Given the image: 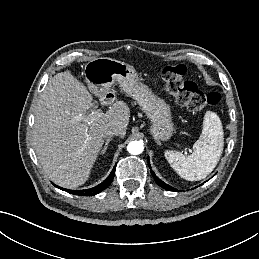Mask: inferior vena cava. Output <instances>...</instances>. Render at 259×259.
Listing matches in <instances>:
<instances>
[{"label": "inferior vena cava", "instance_id": "1", "mask_svg": "<svg viewBox=\"0 0 259 259\" xmlns=\"http://www.w3.org/2000/svg\"><path fill=\"white\" fill-rule=\"evenodd\" d=\"M105 135L107 137H111V136H114V135L115 136H120L121 135V131H120V129L113 127V128L108 129L105 132Z\"/></svg>", "mask_w": 259, "mask_h": 259}]
</instances>
